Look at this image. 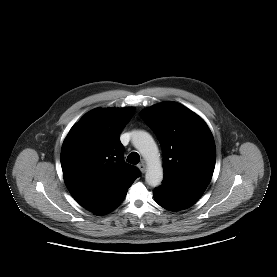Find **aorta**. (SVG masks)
<instances>
[{"mask_svg": "<svg viewBox=\"0 0 277 277\" xmlns=\"http://www.w3.org/2000/svg\"><path fill=\"white\" fill-rule=\"evenodd\" d=\"M132 143L146 161L145 180L147 184L151 187L159 186L163 180V168L154 139L148 132L140 130L133 133Z\"/></svg>", "mask_w": 277, "mask_h": 277, "instance_id": "1", "label": "aorta"}]
</instances>
